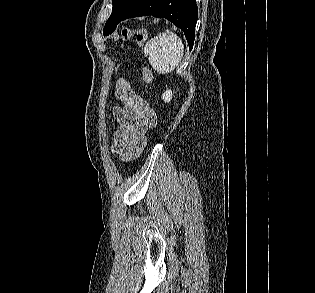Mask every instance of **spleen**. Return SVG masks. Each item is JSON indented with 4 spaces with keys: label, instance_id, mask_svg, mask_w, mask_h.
<instances>
[{
    "label": "spleen",
    "instance_id": "1",
    "mask_svg": "<svg viewBox=\"0 0 315 293\" xmlns=\"http://www.w3.org/2000/svg\"><path fill=\"white\" fill-rule=\"evenodd\" d=\"M144 53L158 73L166 74L172 72L180 63L184 45L175 33L166 30L145 44Z\"/></svg>",
    "mask_w": 315,
    "mask_h": 293
}]
</instances>
